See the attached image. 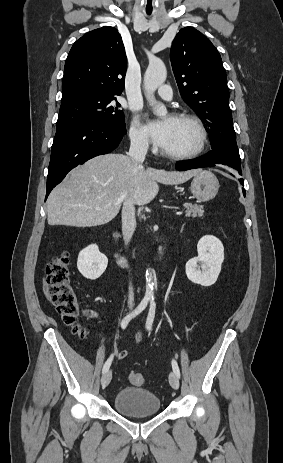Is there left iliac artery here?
I'll list each match as a JSON object with an SVG mask.
<instances>
[{"mask_svg":"<svg viewBox=\"0 0 283 463\" xmlns=\"http://www.w3.org/2000/svg\"><path fill=\"white\" fill-rule=\"evenodd\" d=\"M155 308H156V304H155L154 300H152L151 304H150V309H149V313H148V316H147V320H146V329L148 331H150L151 328H152V324H153L154 317H155ZM172 369H173L174 373L179 378L180 377V370H179L178 364H177V362L175 360H172Z\"/></svg>","mask_w":283,"mask_h":463,"instance_id":"obj_1","label":"left iliac artery"}]
</instances>
